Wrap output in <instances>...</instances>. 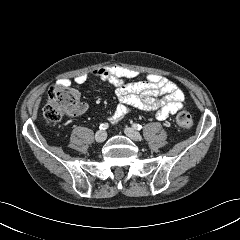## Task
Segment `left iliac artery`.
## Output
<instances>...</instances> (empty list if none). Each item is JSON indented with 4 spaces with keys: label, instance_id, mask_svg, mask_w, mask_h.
Returning a JSON list of instances; mask_svg holds the SVG:
<instances>
[{
    "label": "left iliac artery",
    "instance_id": "obj_1",
    "mask_svg": "<svg viewBox=\"0 0 240 240\" xmlns=\"http://www.w3.org/2000/svg\"><path fill=\"white\" fill-rule=\"evenodd\" d=\"M133 127H134V129H136L138 131L142 129V126L139 124H133Z\"/></svg>",
    "mask_w": 240,
    "mask_h": 240
}]
</instances>
